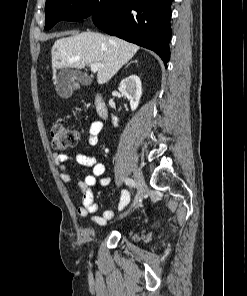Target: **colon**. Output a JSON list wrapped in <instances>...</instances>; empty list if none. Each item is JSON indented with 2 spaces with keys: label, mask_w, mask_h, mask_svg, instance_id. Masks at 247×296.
Returning a JSON list of instances; mask_svg holds the SVG:
<instances>
[{
  "label": "colon",
  "mask_w": 247,
  "mask_h": 296,
  "mask_svg": "<svg viewBox=\"0 0 247 296\" xmlns=\"http://www.w3.org/2000/svg\"><path fill=\"white\" fill-rule=\"evenodd\" d=\"M50 135L55 151L71 148L77 144L79 139L78 131L62 122H56L51 126Z\"/></svg>",
  "instance_id": "colon-1"
}]
</instances>
